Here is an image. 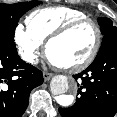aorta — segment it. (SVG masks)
Returning <instances> with one entry per match:
<instances>
[{"label": "aorta", "instance_id": "1", "mask_svg": "<svg viewBox=\"0 0 117 117\" xmlns=\"http://www.w3.org/2000/svg\"><path fill=\"white\" fill-rule=\"evenodd\" d=\"M51 91L56 96V101L59 105L63 107H68L74 102V97L72 95L65 94L70 87V83L65 76L59 75L52 79Z\"/></svg>", "mask_w": 117, "mask_h": 117}]
</instances>
